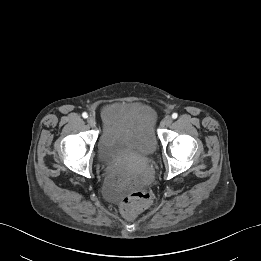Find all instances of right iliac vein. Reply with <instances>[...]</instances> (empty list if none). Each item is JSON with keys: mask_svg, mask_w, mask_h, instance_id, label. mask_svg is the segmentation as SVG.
<instances>
[{"mask_svg": "<svg viewBox=\"0 0 261 261\" xmlns=\"http://www.w3.org/2000/svg\"><path fill=\"white\" fill-rule=\"evenodd\" d=\"M87 122H88L89 126H91V127H95V125H96V120H95V117H93V116L88 117Z\"/></svg>", "mask_w": 261, "mask_h": 261, "instance_id": "1", "label": "right iliac vein"}]
</instances>
